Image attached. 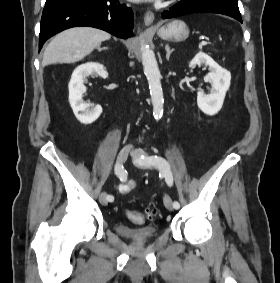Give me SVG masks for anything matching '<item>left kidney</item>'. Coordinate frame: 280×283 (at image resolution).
<instances>
[{"instance_id": "1", "label": "left kidney", "mask_w": 280, "mask_h": 283, "mask_svg": "<svg viewBox=\"0 0 280 283\" xmlns=\"http://www.w3.org/2000/svg\"><path fill=\"white\" fill-rule=\"evenodd\" d=\"M201 64L209 66L210 72L204 77V81L209 82L211 88L208 94L204 91H198L197 105L205 114L215 115L222 108L226 92L230 86L231 74L203 52H199L192 59L189 67Z\"/></svg>"}]
</instances>
